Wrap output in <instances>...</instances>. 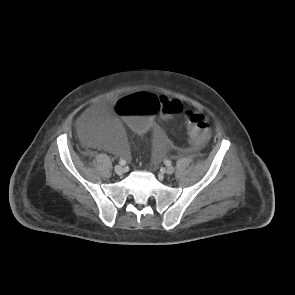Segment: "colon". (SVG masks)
<instances>
[{"label": "colon", "mask_w": 295, "mask_h": 295, "mask_svg": "<svg viewBox=\"0 0 295 295\" xmlns=\"http://www.w3.org/2000/svg\"><path fill=\"white\" fill-rule=\"evenodd\" d=\"M117 113L130 131L143 136L156 122V113L166 116L178 115L186 122L190 141L196 145L205 143L210 137V128L205 119L193 112L190 106H182L180 100L150 93H135L115 103Z\"/></svg>", "instance_id": "obj_1"}]
</instances>
